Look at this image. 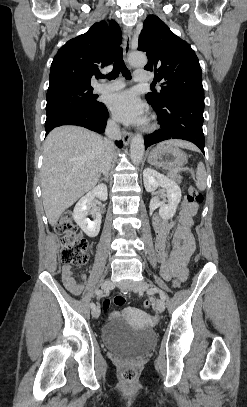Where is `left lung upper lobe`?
<instances>
[{"label": "left lung upper lobe", "mask_w": 247, "mask_h": 407, "mask_svg": "<svg viewBox=\"0 0 247 407\" xmlns=\"http://www.w3.org/2000/svg\"><path fill=\"white\" fill-rule=\"evenodd\" d=\"M138 50L145 51L147 71L155 72V82H161V90L146 94L148 103L163 107L176 97L204 100L202 74L199 60L190 45L176 36L155 15H149L143 23Z\"/></svg>", "instance_id": "1"}]
</instances>
